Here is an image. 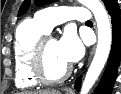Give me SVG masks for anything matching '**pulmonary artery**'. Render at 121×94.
Returning <instances> with one entry per match:
<instances>
[{"mask_svg":"<svg viewBox=\"0 0 121 94\" xmlns=\"http://www.w3.org/2000/svg\"><path fill=\"white\" fill-rule=\"evenodd\" d=\"M91 19L88 9L77 6L50 7L38 11L35 20L40 23L48 32L51 29L66 21L87 22Z\"/></svg>","mask_w":121,"mask_h":94,"instance_id":"pulmonary-artery-1","label":"pulmonary artery"}]
</instances>
